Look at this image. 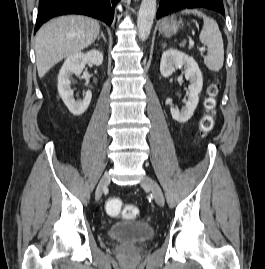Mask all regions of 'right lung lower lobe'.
I'll return each instance as SVG.
<instances>
[{
	"label": "right lung lower lobe",
	"mask_w": 265,
	"mask_h": 269,
	"mask_svg": "<svg viewBox=\"0 0 265 269\" xmlns=\"http://www.w3.org/2000/svg\"><path fill=\"white\" fill-rule=\"evenodd\" d=\"M119 0H39L36 32L49 19L66 14H83L110 25Z\"/></svg>",
	"instance_id": "1"
}]
</instances>
